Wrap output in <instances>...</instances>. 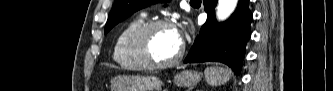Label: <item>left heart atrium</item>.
<instances>
[{"label":"left heart atrium","instance_id":"left-heart-atrium-1","mask_svg":"<svg viewBox=\"0 0 333 91\" xmlns=\"http://www.w3.org/2000/svg\"><path fill=\"white\" fill-rule=\"evenodd\" d=\"M175 32H176L178 40L180 41V43H182L183 42V38H184L183 31L180 30V29H175Z\"/></svg>","mask_w":333,"mask_h":91}]
</instances>
